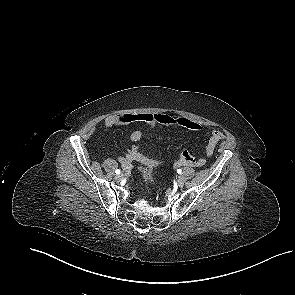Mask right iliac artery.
Returning a JSON list of instances; mask_svg holds the SVG:
<instances>
[{
    "label": "right iliac artery",
    "instance_id": "obj_1",
    "mask_svg": "<svg viewBox=\"0 0 295 295\" xmlns=\"http://www.w3.org/2000/svg\"><path fill=\"white\" fill-rule=\"evenodd\" d=\"M115 173H116L117 175L120 174V173H121L120 169H117V170L115 171Z\"/></svg>",
    "mask_w": 295,
    "mask_h": 295
}]
</instances>
